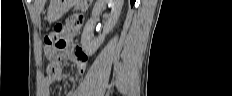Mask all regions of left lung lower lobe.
I'll return each mask as SVG.
<instances>
[{"mask_svg": "<svg viewBox=\"0 0 232 96\" xmlns=\"http://www.w3.org/2000/svg\"><path fill=\"white\" fill-rule=\"evenodd\" d=\"M130 2H131V6H133L135 3V0H130Z\"/></svg>", "mask_w": 232, "mask_h": 96, "instance_id": "1", "label": "left lung lower lobe"}]
</instances>
